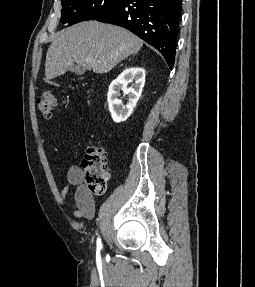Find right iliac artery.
<instances>
[{
	"label": "right iliac artery",
	"mask_w": 255,
	"mask_h": 287,
	"mask_svg": "<svg viewBox=\"0 0 255 287\" xmlns=\"http://www.w3.org/2000/svg\"><path fill=\"white\" fill-rule=\"evenodd\" d=\"M101 248H102L101 239L98 238L97 239V249H101Z\"/></svg>",
	"instance_id": "82829eb1"
}]
</instances>
